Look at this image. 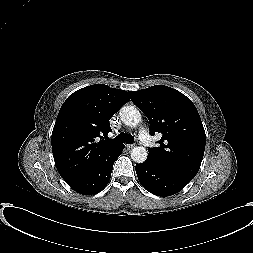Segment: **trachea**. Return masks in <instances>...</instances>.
Segmentation results:
<instances>
[{"label": "trachea", "instance_id": "1", "mask_svg": "<svg viewBox=\"0 0 253 253\" xmlns=\"http://www.w3.org/2000/svg\"><path fill=\"white\" fill-rule=\"evenodd\" d=\"M114 140L122 143L132 144L134 142V137L131 134L122 132Z\"/></svg>", "mask_w": 253, "mask_h": 253}]
</instances>
